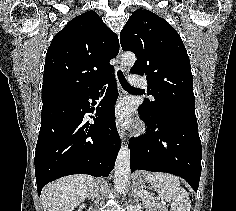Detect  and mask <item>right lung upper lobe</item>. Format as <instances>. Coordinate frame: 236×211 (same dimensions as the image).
Instances as JSON below:
<instances>
[{"instance_id": "right-lung-upper-lobe-1", "label": "right lung upper lobe", "mask_w": 236, "mask_h": 211, "mask_svg": "<svg viewBox=\"0 0 236 211\" xmlns=\"http://www.w3.org/2000/svg\"><path fill=\"white\" fill-rule=\"evenodd\" d=\"M119 52L117 35L94 11L71 20L58 32L46 54L42 102L92 92L109 80V61Z\"/></svg>"}]
</instances>
